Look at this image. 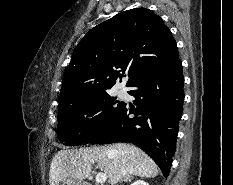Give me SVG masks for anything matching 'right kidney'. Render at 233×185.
<instances>
[{
	"instance_id": "obj_1",
	"label": "right kidney",
	"mask_w": 233,
	"mask_h": 185,
	"mask_svg": "<svg viewBox=\"0 0 233 185\" xmlns=\"http://www.w3.org/2000/svg\"><path fill=\"white\" fill-rule=\"evenodd\" d=\"M131 185H149V184L143 180H137L136 182L132 183Z\"/></svg>"
}]
</instances>
